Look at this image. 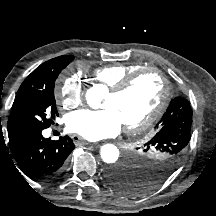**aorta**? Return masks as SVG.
<instances>
[{"label":"aorta","instance_id":"762f6f07","mask_svg":"<svg viewBox=\"0 0 216 216\" xmlns=\"http://www.w3.org/2000/svg\"><path fill=\"white\" fill-rule=\"evenodd\" d=\"M105 90L102 86L97 85L86 93V101L88 105L94 109L100 107ZM100 155L102 160L107 164L115 163L119 158V150L113 144H105L101 147Z\"/></svg>","mask_w":216,"mask_h":216}]
</instances>
